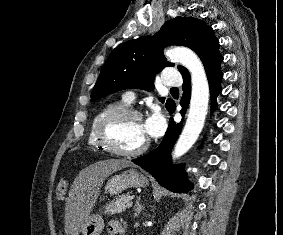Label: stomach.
Segmentation results:
<instances>
[{"label":"stomach","instance_id":"0dacf381","mask_svg":"<svg viewBox=\"0 0 283 235\" xmlns=\"http://www.w3.org/2000/svg\"><path fill=\"white\" fill-rule=\"evenodd\" d=\"M148 179L135 169H128L120 174L111 176L106 185L105 192L110 195L121 194L128 188L145 187ZM104 228V220L100 214H92L84 222L81 232L82 235H100Z\"/></svg>","mask_w":283,"mask_h":235}]
</instances>
